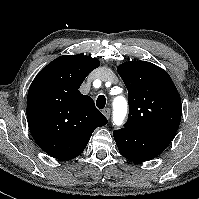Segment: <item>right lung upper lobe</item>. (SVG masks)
I'll use <instances>...</instances> for the list:
<instances>
[{
  "instance_id": "cb5924a9",
  "label": "right lung upper lobe",
  "mask_w": 199,
  "mask_h": 199,
  "mask_svg": "<svg viewBox=\"0 0 199 199\" xmlns=\"http://www.w3.org/2000/svg\"><path fill=\"white\" fill-rule=\"evenodd\" d=\"M100 62L96 58L63 55L44 67L30 85L27 121L32 137L48 155L59 160L79 156L92 132L106 117L79 88Z\"/></svg>"
}]
</instances>
